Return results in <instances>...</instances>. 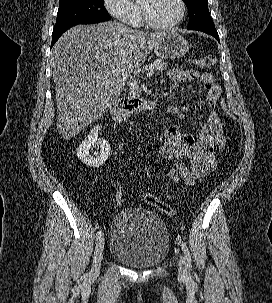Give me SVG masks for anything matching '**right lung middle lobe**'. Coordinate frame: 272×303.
<instances>
[{"instance_id":"obj_1","label":"right lung middle lobe","mask_w":272,"mask_h":303,"mask_svg":"<svg viewBox=\"0 0 272 303\" xmlns=\"http://www.w3.org/2000/svg\"><path fill=\"white\" fill-rule=\"evenodd\" d=\"M103 0H59L57 21L53 31L85 22L110 20Z\"/></svg>"}]
</instances>
